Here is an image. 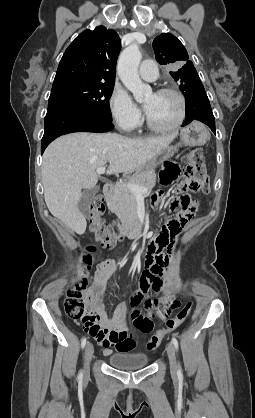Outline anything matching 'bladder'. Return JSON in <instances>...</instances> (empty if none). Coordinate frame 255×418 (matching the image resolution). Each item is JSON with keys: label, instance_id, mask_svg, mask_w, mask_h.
Segmentation results:
<instances>
[{"label": "bladder", "instance_id": "obj_1", "mask_svg": "<svg viewBox=\"0 0 255 418\" xmlns=\"http://www.w3.org/2000/svg\"><path fill=\"white\" fill-rule=\"evenodd\" d=\"M109 364L120 370H136L148 365L149 357L144 352L114 354L108 359Z\"/></svg>", "mask_w": 255, "mask_h": 418}]
</instances>
